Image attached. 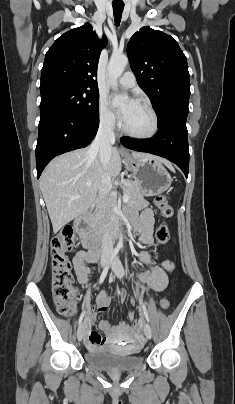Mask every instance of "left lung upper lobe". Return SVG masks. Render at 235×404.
<instances>
[{
    "label": "left lung upper lobe",
    "mask_w": 235,
    "mask_h": 404,
    "mask_svg": "<svg viewBox=\"0 0 235 404\" xmlns=\"http://www.w3.org/2000/svg\"><path fill=\"white\" fill-rule=\"evenodd\" d=\"M127 54L138 85L158 114V126L173 120L186 122L190 75L177 41L161 31L142 27L130 38Z\"/></svg>",
    "instance_id": "5c2ea615"
}]
</instances>
